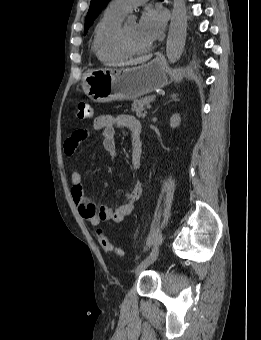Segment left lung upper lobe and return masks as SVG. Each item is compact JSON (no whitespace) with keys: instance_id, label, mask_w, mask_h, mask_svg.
<instances>
[{"instance_id":"left-lung-upper-lobe-1","label":"left lung upper lobe","mask_w":261,"mask_h":340,"mask_svg":"<svg viewBox=\"0 0 261 340\" xmlns=\"http://www.w3.org/2000/svg\"><path fill=\"white\" fill-rule=\"evenodd\" d=\"M109 0H91L89 11L86 17L85 21V28H84V34L87 33L89 27L95 20V18L99 15V13L102 11L104 6Z\"/></svg>"}]
</instances>
